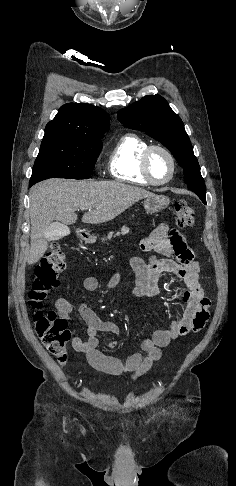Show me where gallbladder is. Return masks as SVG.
<instances>
[{
	"label": "gallbladder",
	"mask_w": 236,
	"mask_h": 486,
	"mask_svg": "<svg viewBox=\"0 0 236 486\" xmlns=\"http://www.w3.org/2000/svg\"><path fill=\"white\" fill-rule=\"evenodd\" d=\"M65 225L60 222H53L49 227V234L51 235V240H59L65 234Z\"/></svg>",
	"instance_id": "obj_1"
}]
</instances>
